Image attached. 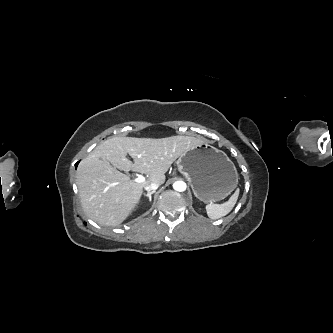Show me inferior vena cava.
I'll return each instance as SVG.
<instances>
[{
	"instance_id": "602c4592",
	"label": "inferior vena cava",
	"mask_w": 333,
	"mask_h": 333,
	"mask_svg": "<svg viewBox=\"0 0 333 333\" xmlns=\"http://www.w3.org/2000/svg\"><path fill=\"white\" fill-rule=\"evenodd\" d=\"M159 186H160V184H158V183H151V184L145 186L144 189L146 191L150 192V191L158 189Z\"/></svg>"
}]
</instances>
